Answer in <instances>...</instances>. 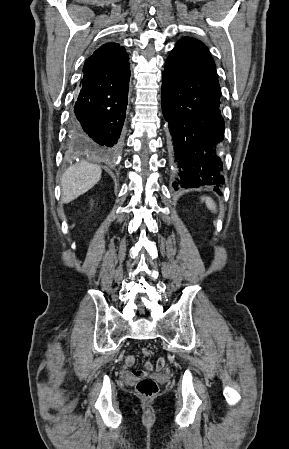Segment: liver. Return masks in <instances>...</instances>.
<instances>
[{"mask_svg": "<svg viewBox=\"0 0 289 449\" xmlns=\"http://www.w3.org/2000/svg\"><path fill=\"white\" fill-rule=\"evenodd\" d=\"M101 167L85 161L70 166L61 179L63 203L67 204L90 190L101 179Z\"/></svg>", "mask_w": 289, "mask_h": 449, "instance_id": "obj_1", "label": "liver"}]
</instances>
